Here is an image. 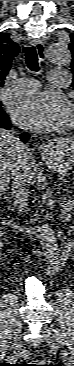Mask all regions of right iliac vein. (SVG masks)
Here are the masks:
<instances>
[{"mask_svg": "<svg viewBox=\"0 0 74 366\" xmlns=\"http://www.w3.org/2000/svg\"><path fill=\"white\" fill-rule=\"evenodd\" d=\"M21 331H22V323L20 321H16L14 324V328H13V355H16V350L19 346V340H20V335H21Z\"/></svg>", "mask_w": 74, "mask_h": 366, "instance_id": "right-iliac-vein-1", "label": "right iliac vein"}]
</instances>
